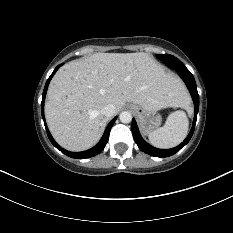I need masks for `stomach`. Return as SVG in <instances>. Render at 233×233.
<instances>
[{"mask_svg": "<svg viewBox=\"0 0 233 233\" xmlns=\"http://www.w3.org/2000/svg\"><path fill=\"white\" fill-rule=\"evenodd\" d=\"M129 106L136 113L140 128L144 134H149L159 127L161 123V116L157 111L149 110L134 103Z\"/></svg>", "mask_w": 233, "mask_h": 233, "instance_id": "stomach-1", "label": "stomach"}]
</instances>
